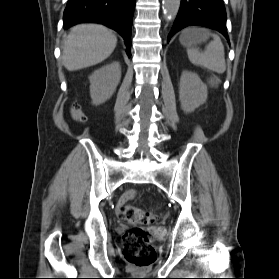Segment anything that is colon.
I'll return each instance as SVG.
<instances>
[{
    "instance_id": "obj_1",
    "label": "colon",
    "mask_w": 279,
    "mask_h": 279,
    "mask_svg": "<svg viewBox=\"0 0 279 279\" xmlns=\"http://www.w3.org/2000/svg\"><path fill=\"white\" fill-rule=\"evenodd\" d=\"M71 115L77 122L87 120L79 105L71 106ZM122 219L132 227L127 230L122 239L123 255L125 259L135 266H148L156 260V252L152 246L153 234L139 225H148L156 221V213L151 209H142L132 204H124L119 208Z\"/></svg>"
}]
</instances>
